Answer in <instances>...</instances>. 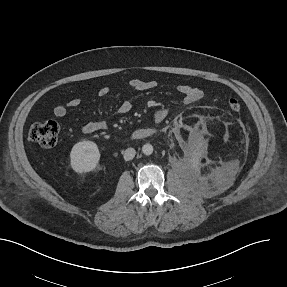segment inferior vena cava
Masks as SVG:
<instances>
[{
  "instance_id": "inferior-vena-cava-1",
  "label": "inferior vena cava",
  "mask_w": 287,
  "mask_h": 287,
  "mask_svg": "<svg viewBox=\"0 0 287 287\" xmlns=\"http://www.w3.org/2000/svg\"><path fill=\"white\" fill-rule=\"evenodd\" d=\"M135 154H136V151L134 148H127L123 153L124 160L125 161L132 160L135 157Z\"/></svg>"
}]
</instances>
